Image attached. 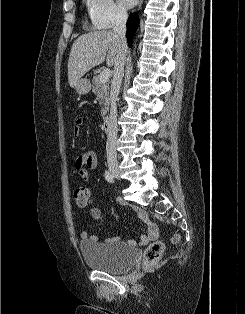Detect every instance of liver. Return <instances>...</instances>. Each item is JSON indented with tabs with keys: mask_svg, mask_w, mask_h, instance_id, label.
Segmentation results:
<instances>
[{
	"mask_svg": "<svg viewBox=\"0 0 245 314\" xmlns=\"http://www.w3.org/2000/svg\"><path fill=\"white\" fill-rule=\"evenodd\" d=\"M119 49L120 44L111 30L93 31L78 37L72 45L68 60L70 87H75L85 73L103 63L105 59L108 66L114 65Z\"/></svg>",
	"mask_w": 245,
	"mask_h": 314,
	"instance_id": "1",
	"label": "liver"
}]
</instances>
